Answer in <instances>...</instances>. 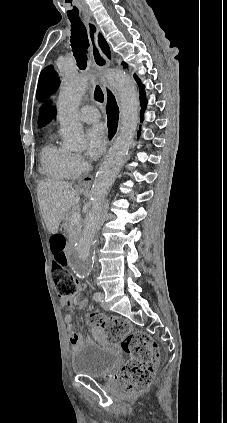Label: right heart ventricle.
Instances as JSON below:
<instances>
[{
  "label": "right heart ventricle",
  "mask_w": 227,
  "mask_h": 423,
  "mask_svg": "<svg viewBox=\"0 0 227 423\" xmlns=\"http://www.w3.org/2000/svg\"><path fill=\"white\" fill-rule=\"evenodd\" d=\"M69 152L53 144L51 141L47 142L40 155V173L49 178L66 179V160Z\"/></svg>",
  "instance_id": "1"
}]
</instances>
